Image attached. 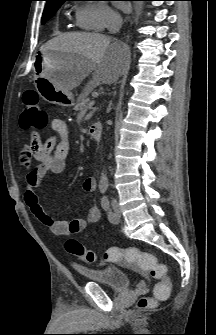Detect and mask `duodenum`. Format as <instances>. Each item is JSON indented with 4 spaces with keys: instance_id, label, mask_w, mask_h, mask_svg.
<instances>
[{
    "instance_id": "duodenum-1",
    "label": "duodenum",
    "mask_w": 216,
    "mask_h": 335,
    "mask_svg": "<svg viewBox=\"0 0 216 335\" xmlns=\"http://www.w3.org/2000/svg\"><path fill=\"white\" fill-rule=\"evenodd\" d=\"M102 134V125L95 123L91 125L88 129V135L95 141H99Z\"/></svg>"
}]
</instances>
